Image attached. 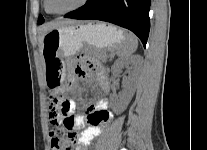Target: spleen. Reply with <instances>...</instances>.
I'll return each instance as SVG.
<instances>
[{
  "instance_id": "3e777b00",
  "label": "spleen",
  "mask_w": 207,
  "mask_h": 150,
  "mask_svg": "<svg viewBox=\"0 0 207 150\" xmlns=\"http://www.w3.org/2000/svg\"><path fill=\"white\" fill-rule=\"evenodd\" d=\"M138 47L137 37L132 33H126L125 42L117 48L118 56L122 58L129 57Z\"/></svg>"
}]
</instances>
